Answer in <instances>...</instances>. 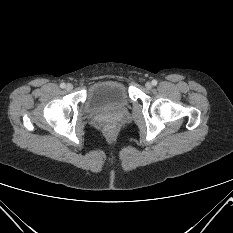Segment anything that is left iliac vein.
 <instances>
[{
	"mask_svg": "<svg viewBox=\"0 0 233 233\" xmlns=\"http://www.w3.org/2000/svg\"><path fill=\"white\" fill-rule=\"evenodd\" d=\"M145 87H146L147 89H151L152 84H151L150 82H147V83L145 84Z\"/></svg>",
	"mask_w": 233,
	"mask_h": 233,
	"instance_id": "1",
	"label": "left iliac vein"
}]
</instances>
